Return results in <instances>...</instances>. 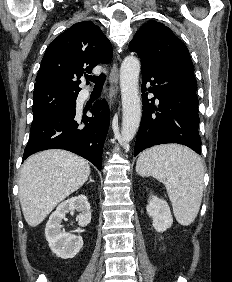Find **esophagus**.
<instances>
[{
	"mask_svg": "<svg viewBox=\"0 0 232 282\" xmlns=\"http://www.w3.org/2000/svg\"><path fill=\"white\" fill-rule=\"evenodd\" d=\"M118 81H119V72H118V66L117 63L114 61L111 72H110V87H109V93L112 98V104L114 103V99L116 98L117 91H118Z\"/></svg>",
	"mask_w": 232,
	"mask_h": 282,
	"instance_id": "esophagus-1",
	"label": "esophagus"
}]
</instances>
